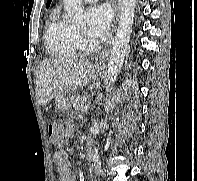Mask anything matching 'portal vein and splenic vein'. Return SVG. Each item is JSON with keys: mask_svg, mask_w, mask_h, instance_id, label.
Returning a JSON list of instances; mask_svg holds the SVG:
<instances>
[{"mask_svg": "<svg viewBox=\"0 0 197 181\" xmlns=\"http://www.w3.org/2000/svg\"><path fill=\"white\" fill-rule=\"evenodd\" d=\"M87 110H88V107H87V106L81 107V112H82V113L87 112Z\"/></svg>", "mask_w": 197, "mask_h": 181, "instance_id": "1", "label": "portal vein and splenic vein"}]
</instances>
